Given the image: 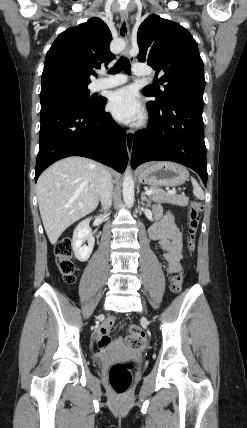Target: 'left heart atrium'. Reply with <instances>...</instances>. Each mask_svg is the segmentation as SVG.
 Masks as SVG:
<instances>
[{
	"instance_id": "39dd6f15",
	"label": "left heart atrium",
	"mask_w": 247,
	"mask_h": 428,
	"mask_svg": "<svg viewBox=\"0 0 247 428\" xmlns=\"http://www.w3.org/2000/svg\"><path fill=\"white\" fill-rule=\"evenodd\" d=\"M108 108L119 121L138 123L143 111L133 89L125 87L115 91L109 100Z\"/></svg>"
}]
</instances>
